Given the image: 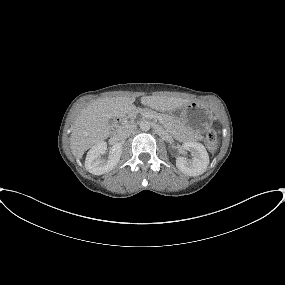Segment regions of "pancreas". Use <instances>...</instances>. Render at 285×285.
Masks as SVG:
<instances>
[{
    "mask_svg": "<svg viewBox=\"0 0 285 285\" xmlns=\"http://www.w3.org/2000/svg\"><path fill=\"white\" fill-rule=\"evenodd\" d=\"M140 113L142 116L151 115L154 117L159 118L161 121L164 122L165 128L168 132L173 134H180L182 133V124L181 122L171 116L165 115V114H158L155 112H152L150 110H136L134 111V114ZM198 136V135H196Z\"/></svg>",
    "mask_w": 285,
    "mask_h": 285,
    "instance_id": "obj_1",
    "label": "pancreas"
}]
</instances>
